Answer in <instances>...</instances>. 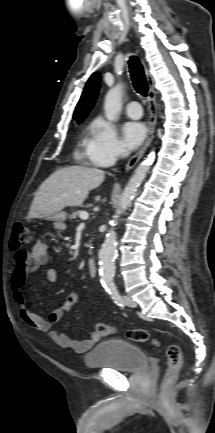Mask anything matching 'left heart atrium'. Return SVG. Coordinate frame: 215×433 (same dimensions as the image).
I'll return each instance as SVG.
<instances>
[{
	"mask_svg": "<svg viewBox=\"0 0 215 433\" xmlns=\"http://www.w3.org/2000/svg\"><path fill=\"white\" fill-rule=\"evenodd\" d=\"M125 147L133 150L138 147L146 136V127L140 122H127L122 127Z\"/></svg>",
	"mask_w": 215,
	"mask_h": 433,
	"instance_id": "1",
	"label": "left heart atrium"
}]
</instances>
